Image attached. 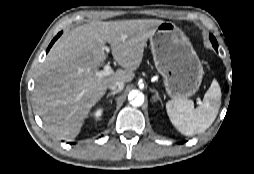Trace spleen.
<instances>
[{"label":"spleen","mask_w":254,"mask_h":174,"mask_svg":"<svg viewBox=\"0 0 254 174\" xmlns=\"http://www.w3.org/2000/svg\"><path fill=\"white\" fill-rule=\"evenodd\" d=\"M221 95L218 82L213 80L196 109L192 100L178 98L166 104L167 114L181 134L192 136L202 133L215 121L221 105Z\"/></svg>","instance_id":"1"}]
</instances>
